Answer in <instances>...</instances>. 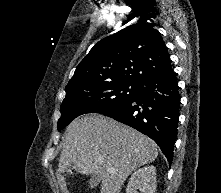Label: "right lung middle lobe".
Instances as JSON below:
<instances>
[{
  "instance_id": "dd1d6c3e",
  "label": "right lung middle lobe",
  "mask_w": 221,
  "mask_h": 193,
  "mask_svg": "<svg viewBox=\"0 0 221 193\" xmlns=\"http://www.w3.org/2000/svg\"><path fill=\"white\" fill-rule=\"evenodd\" d=\"M140 89L141 83L129 81L66 89L57 125L58 131L80 115L118 107L136 96Z\"/></svg>"
}]
</instances>
